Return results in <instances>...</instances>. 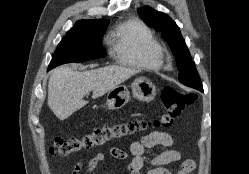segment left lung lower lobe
Instances as JSON below:
<instances>
[{"instance_id": "1", "label": "left lung lower lobe", "mask_w": 249, "mask_h": 174, "mask_svg": "<svg viewBox=\"0 0 249 174\" xmlns=\"http://www.w3.org/2000/svg\"><path fill=\"white\" fill-rule=\"evenodd\" d=\"M200 91H203V87L199 88Z\"/></svg>"}]
</instances>
